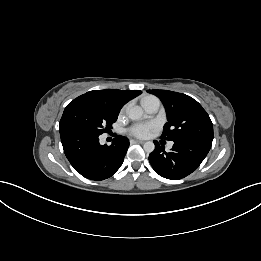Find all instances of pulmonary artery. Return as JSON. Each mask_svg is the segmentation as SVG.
Here are the masks:
<instances>
[{
	"label": "pulmonary artery",
	"mask_w": 261,
	"mask_h": 261,
	"mask_svg": "<svg viewBox=\"0 0 261 261\" xmlns=\"http://www.w3.org/2000/svg\"><path fill=\"white\" fill-rule=\"evenodd\" d=\"M160 105V100L154 96H150L142 102V107L148 115L155 114L159 110ZM172 145L173 143L171 142L168 146L172 147Z\"/></svg>",
	"instance_id": "pulmonary-artery-1"
}]
</instances>
